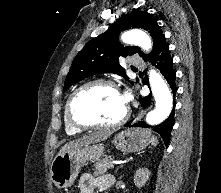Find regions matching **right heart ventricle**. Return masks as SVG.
<instances>
[{
	"label": "right heart ventricle",
	"instance_id": "right-heart-ventricle-1",
	"mask_svg": "<svg viewBox=\"0 0 221 193\" xmlns=\"http://www.w3.org/2000/svg\"><path fill=\"white\" fill-rule=\"evenodd\" d=\"M65 131L68 135L74 136L81 132V129L74 127L68 120L66 109L64 111Z\"/></svg>",
	"mask_w": 221,
	"mask_h": 193
}]
</instances>
